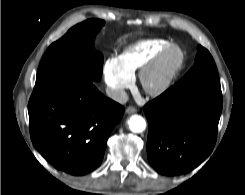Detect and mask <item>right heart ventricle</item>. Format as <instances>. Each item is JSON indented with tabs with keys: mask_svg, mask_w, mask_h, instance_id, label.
<instances>
[{
	"mask_svg": "<svg viewBox=\"0 0 245 195\" xmlns=\"http://www.w3.org/2000/svg\"><path fill=\"white\" fill-rule=\"evenodd\" d=\"M170 45L169 41L163 39L138 41L125 48L117 59L122 68L133 77L136 71Z\"/></svg>",
	"mask_w": 245,
	"mask_h": 195,
	"instance_id": "right-heart-ventricle-1",
	"label": "right heart ventricle"
}]
</instances>
